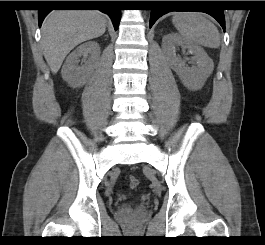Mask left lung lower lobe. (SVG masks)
<instances>
[{
  "mask_svg": "<svg viewBox=\"0 0 265 245\" xmlns=\"http://www.w3.org/2000/svg\"><path fill=\"white\" fill-rule=\"evenodd\" d=\"M156 7L151 10L150 28L156 22V20L162 15L171 11H201L213 16L225 31V17L223 9L210 8L207 10L200 9H187V7H194L195 1H156ZM210 4H217L216 1H212Z\"/></svg>",
  "mask_w": 265,
  "mask_h": 245,
  "instance_id": "1",
  "label": "left lung lower lobe"
}]
</instances>
